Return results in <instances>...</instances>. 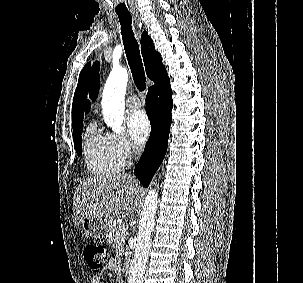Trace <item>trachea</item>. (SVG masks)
<instances>
[{
    "label": "trachea",
    "mask_w": 303,
    "mask_h": 283,
    "mask_svg": "<svg viewBox=\"0 0 303 283\" xmlns=\"http://www.w3.org/2000/svg\"><path fill=\"white\" fill-rule=\"evenodd\" d=\"M121 24V34L127 56V60L132 72L133 80L139 91L146 88L145 71L140 55L138 43L132 30V17L127 15H118Z\"/></svg>",
    "instance_id": "1"
}]
</instances>
